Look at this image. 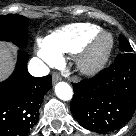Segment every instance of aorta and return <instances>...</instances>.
<instances>
[{
    "label": "aorta",
    "instance_id": "1",
    "mask_svg": "<svg viewBox=\"0 0 136 136\" xmlns=\"http://www.w3.org/2000/svg\"><path fill=\"white\" fill-rule=\"evenodd\" d=\"M55 93L57 97L63 101H68L73 96L72 88L66 82H59L55 86Z\"/></svg>",
    "mask_w": 136,
    "mask_h": 136
}]
</instances>
